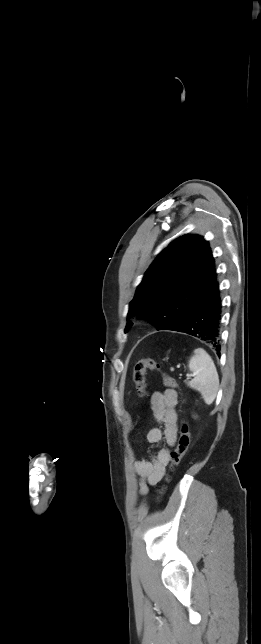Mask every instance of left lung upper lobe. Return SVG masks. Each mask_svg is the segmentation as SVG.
<instances>
[{
  "label": "left lung upper lobe",
  "mask_w": 261,
  "mask_h": 644,
  "mask_svg": "<svg viewBox=\"0 0 261 644\" xmlns=\"http://www.w3.org/2000/svg\"><path fill=\"white\" fill-rule=\"evenodd\" d=\"M217 280L209 243L184 235L164 249L146 271L130 303L128 318L137 315L158 329L178 322ZM132 325L128 322L126 330Z\"/></svg>",
  "instance_id": "obj_1"
}]
</instances>
